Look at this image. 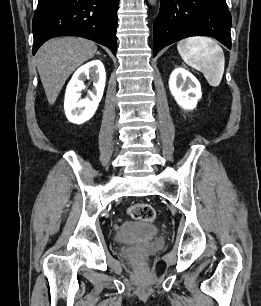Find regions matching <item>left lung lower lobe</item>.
Here are the masks:
<instances>
[{
	"label": "left lung lower lobe",
	"mask_w": 261,
	"mask_h": 306,
	"mask_svg": "<svg viewBox=\"0 0 261 306\" xmlns=\"http://www.w3.org/2000/svg\"><path fill=\"white\" fill-rule=\"evenodd\" d=\"M231 23L226 0H161L153 27V57L189 36L214 37L231 49Z\"/></svg>",
	"instance_id": "obj_1"
}]
</instances>
